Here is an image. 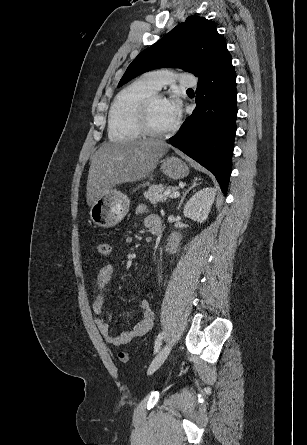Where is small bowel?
Segmentation results:
<instances>
[{"mask_svg": "<svg viewBox=\"0 0 307 445\" xmlns=\"http://www.w3.org/2000/svg\"><path fill=\"white\" fill-rule=\"evenodd\" d=\"M145 211L143 206L138 208V212ZM145 226L152 234H158L161 230V219L158 215L149 214L145 218ZM114 273L113 264L104 265L97 274V294L95 296L92 311L96 316V325L103 336L105 342L113 346L125 345L143 335H145L153 326L154 313L150 307L149 301L143 298L139 306L142 310L141 320L129 331L123 332L120 335H113L110 331V312L104 307L103 291L110 282Z\"/></svg>", "mask_w": 307, "mask_h": 445, "instance_id": "obj_1", "label": "small bowel"}]
</instances>
